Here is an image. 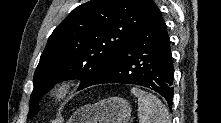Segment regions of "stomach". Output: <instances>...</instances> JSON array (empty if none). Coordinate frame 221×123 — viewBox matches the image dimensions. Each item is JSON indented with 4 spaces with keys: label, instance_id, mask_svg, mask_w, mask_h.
<instances>
[{
    "label": "stomach",
    "instance_id": "0dacf381",
    "mask_svg": "<svg viewBox=\"0 0 221 123\" xmlns=\"http://www.w3.org/2000/svg\"><path fill=\"white\" fill-rule=\"evenodd\" d=\"M131 106L123 98L111 97L77 109L68 123H128Z\"/></svg>",
    "mask_w": 221,
    "mask_h": 123
}]
</instances>
